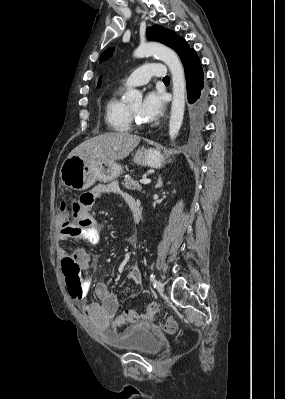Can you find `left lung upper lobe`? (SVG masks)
<instances>
[{"instance_id":"obj_1","label":"left lung upper lobe","mask_w":285,"mask_h":399,"mask_svg":"<svg viewBox=\"0 0 285 399\" xmlns=\"http://www.w3.org/2000/svg\"><path fill=\"white\" fill-rule=\"evenodd\" d=\"M146 36L149 40L161 42L172 48L180 57L185 51L190 49V46L187 44L185 39L177 36L173 31L165 29L160 25L148 27L146 30ZM113 50V48H109L104 51L100 57V62L111 57Z\"/></svg>"}]
</instances>
